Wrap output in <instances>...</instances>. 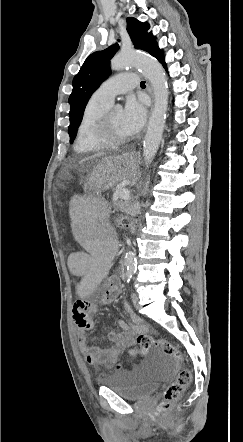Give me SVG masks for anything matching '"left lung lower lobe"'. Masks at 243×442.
<instances>
[{"label": "left lung lower lobe", "mask_w": 243, "mask_h": 442, "mask_svg": "<svg viewBox=\"0 0 243 442\" xmlns=\"http://www.w3.org/2000/svg\"><path fill=\"white\" fill-rule=\"evenodd\" d=\"M151 55L154 56L155 58H157L158 61H159V62H160L165 68H167L166 63H165V60H164L163 52H162L161 49H159L158 45L154 48V50H153V52L151 53Z\"/></svg>", "instance_id": "obj_1"}]
</instances>
